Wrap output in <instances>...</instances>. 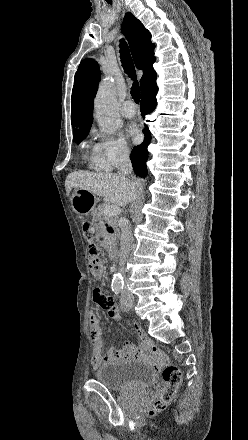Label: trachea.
I'll return each instance as SVG.
<instances>
[{"label":"trachea","instance_id":"1","mask_svg":"<svg viewBox=\"0 0 248 440\" xmlns=\"http://www.w3.org/2000/svg\"><path fill=\"white\" fill-rule=\"evenodd\" d=\"M120 58L125 73L128 74V76L132 80H134V83L131 87V96L134 99V101L137 104H139L140 90H139V83L136 80V70L130 54L129 47L127 43L124 42L123 40H121L120 43Z\"/></svg>","mask_w":248,"mask_h":440}]
</instances>
